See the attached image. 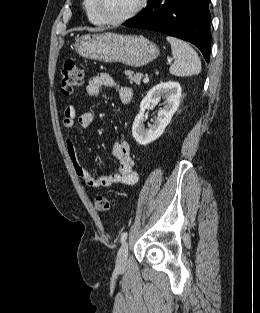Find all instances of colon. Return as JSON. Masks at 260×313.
<instances>
[{"label":"colon","instance_id":"obj_1","mask_svg":"<svg viewBox=\"0 0 260 313\" xmlns=\"http://www.w3.org/2000/svg\"><path fill=\"white\" fill-rule=\"evenodd\" d=\"M61 77V89L66 95L72 94L83 84V72L72 59L66 60L62 65ZM94 205L96 210L103 214L111 210L110 200L104 196H97Z\"/></svg>","mask_w":260,"mask_h":313}]
</instances>
